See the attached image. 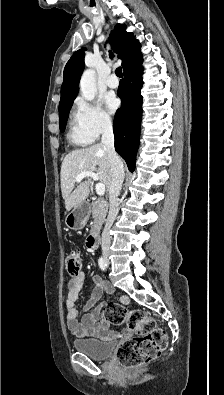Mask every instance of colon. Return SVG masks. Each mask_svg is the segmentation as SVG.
Here are the masks:
<instances>
[{
  "label": "colon",
  "mask_w": 224,
  "mask_h": 395,
  "mask_svg": "<svg viewBox=\"0 0 224 395\" xmlns=\"http://www.w3.org/2000/svg\"><path fill=\"white\" fill-rule=\"evenodd\" d=\"M67 270L77 275L82 258L77 252L66 257ZM105 319L114 325H126L136 336L123 342L117 350L118 361L131 368L143 366L161 355L167 345V334L156 322L140 310H128L123 305L110 302L104 308Z\"/></svg>",
  "instance_id": "obj_1"
}]
</instances>
